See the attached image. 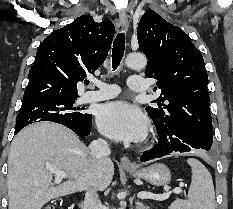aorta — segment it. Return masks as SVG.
I'll return each instance as SVG.
<instances>
[{
    "instance_id": "1",
    "label": "aorta",
    "mask_w": 233,
    "mask_h": 209,
    "mask_svg": "<svg viewBox=\"0 0 233 209\" xmlns=\"http://www.w3.org/2000/svg\"><path fill=\"white\" fill-rule=\"evenodd\" d=\"M125 64L131 69H142L146 66L147 59L143 54H129L125 59Z\"/></svg>"
}]
</instances>
